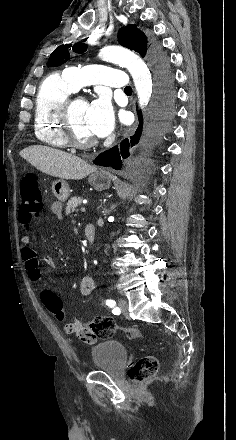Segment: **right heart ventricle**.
<instances>
[{"mask_svg":"<svg viewBox=\"0 0 236 440\" xmlns=\"http://www.w3.org/2000/svg\"><path fill=\"white\" fill-rule=\"evenodd\" d=\"M75 90L63 74H51L41 83L34 109V133L42 143L57 149L68 146L61 134L58 112L62 102Z\"/></svg>","mask_w":236,"mask_h":440,"instance_id":"1","label":"right heart ventricle"}]
</instances>
